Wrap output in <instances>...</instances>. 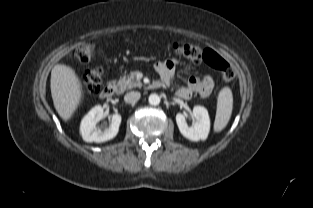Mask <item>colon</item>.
Listing matches in <instances>:
<instances>
[{
  "label": "colon",
  "instance_id": "obj_1",
  "mask_svg": "<svg viewBox=\"0 0 313 208\" xmlns=\"http://www.w3.org/2000/svg\"><path fill=\"white\" fill-rule=\"evenodd\" d=\"M171 48L176 54L193 62L204 61L213 69L217 70L225 82H230L235 78V72L230 64L211 49L201 50L199 47L188 43H175ZM93 55L94 45L90 42L79 44L72 52V56L83 64L88 63ZM101 79L102 70L100 68L89 69L83 77L84 89L91 94L97 93L100 89Z\"/></svg>",
  "mask_w": 313,
  "mask_h": 208
}]
</instances>
